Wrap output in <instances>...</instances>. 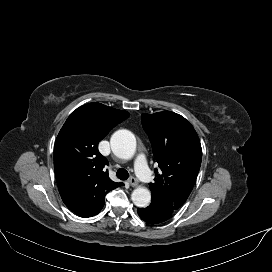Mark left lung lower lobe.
Masks as SVG:
<instances>
[{
  "label": "left lung lower lobe",
  "instance_id": "obj_1",
  "mask_svg": "<svg viewBox=\"0 0 272 272\" xmlns=\"http://www.w3.org/2000/svg\"><path fill=\"white\" fill-rule=\"evenodd\" d=\"M138 215L147 223L158 224L169 219L172 213H169L156 205L150 204L146 208H138Z\"/></svg>",
  "mask_w": 272,
  "mask_h": 272
}]
</instances>
